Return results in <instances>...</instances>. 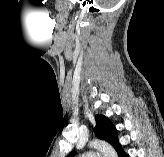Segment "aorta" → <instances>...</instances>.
<instances>
[{"mask_svg":"<svg viewBox=\"0 0 164 157\" xmlns=\"http://www.w3.org/2000/svg\"><path fill=\"white\" fill-rule=\"evenodd\" d=\"M90 147L100 151L104 157H116L115 149L107 142L102 140H94L90 143Z\"/></svg>","mask_w":164,"mask_h":157,"instance_id":"obj_1","label":"aorta"}]
</instances>
